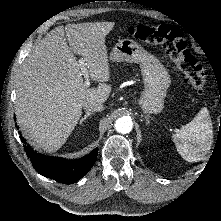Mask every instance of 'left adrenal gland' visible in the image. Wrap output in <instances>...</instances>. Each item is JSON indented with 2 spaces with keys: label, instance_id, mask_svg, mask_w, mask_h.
Segmentation results:
<instances>
[{
  "label": "left adrenal gland",
  "instance_id": "obj_1",
  "mask_svg": "<svg viewBox=\"0 0 221 221\" xmlns=\"http://www.w3.org/2000/svg\"><path fill=\"white\" fill-rule=\"evenodd\" d=\"M145 118H146V125H149L150 121H149L148 117H145Z\"/></svg>",
  "mask_w": 221,
  "mask_h": 221
}]
</instances>
